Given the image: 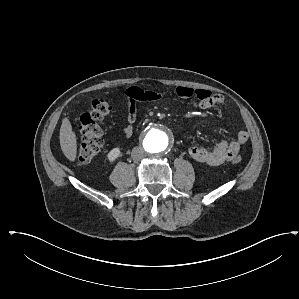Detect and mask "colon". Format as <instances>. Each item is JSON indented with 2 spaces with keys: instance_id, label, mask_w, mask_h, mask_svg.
Listing matches in <instances>:
<instances>
[{
  "instance_id": "1",
  "label": "colon",
  "mask_w": 299,
  "mask_h": 299,
  "mask_svg": "<svg viewBox=\"0 0 299 299\" xmlns=\"http://www.w3.org/2000/svg\"><path fill=\"white\" fill-rule=\"evenodd\" d=\"M112 106L104 99H95L90 108L80 118V130L83 140L78 148L77 161L80 165L91 162L101 151L103 146V131L99 121L108 115ZM242 158L235 155L232 158L234 164L241 163Z\"/></svg>"
}]
</instances>
